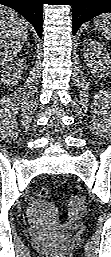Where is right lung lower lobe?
Masks as SVG:
<instances>
[{
    "instance_id": "1",
    "label": "right lung lower lobe",
    "mask_w": 111,
    "mask_h": 257,
    "mask_svg": "<svg viewBox=\"0 0 111 257\" xmlns=\"http://www.w3.org/2000/svg\"><path fill=\"white\" fill-rule=\"evenodd\" d=\"M0 4L9 6L20 13L34 26L41 38L43 0H0Z\"/></svg>"
}]
</instances>
